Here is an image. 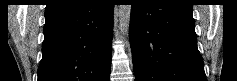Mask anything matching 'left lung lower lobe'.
Wrapping results in <instances>:
<instances>
[{"label":"left lung lower lobe","instance_id":"left-lung-lower-lobe-1","mask_svg":"<svg viewBox=\"0 0 237 81\" xmlns=\"http://www.w3.org/2000/svg\"><path fill=\"white\" fill-rule=\"evenodd\" d=\"M192 5L135 0L130 43L136 81H206Z\"/></svg>","mask_w":237,"mask_h":81}]
</instances>
